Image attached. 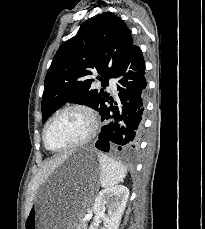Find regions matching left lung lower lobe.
<instances>
[{"instance_id": "1", "label": "left lung lower lobe", "mask_w": 205, "mask_h": 229, "mask_svg": "<svg viewBox=\"0 0 205 229\" xmlns=\"http://www.w3.org/2000/svg\"><path fill=\"white\" fill-rule=\"evenodd\" d=\"M114 78L118 80L119 104L115 102L113 105L109 97L111 106L100 113L101 120L106 123L95 146L105 152L112 150L133 157L139 149L143 131L147 88L145 62L138 46L133 44L122 59Z\"/></svg>"}]
</instances>
